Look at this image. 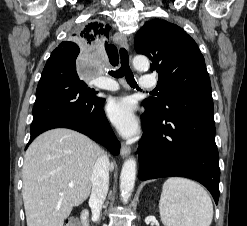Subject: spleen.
Instances as JSON below:
<instances>
[{
    "label": "spleen",
    "instance_id": "obj_1",
    "mask_svg": "<svg viewBox=\"0 0 247 226\" xmlns=\"http://www.w3.org/2000/svg\"><path fill=\"white\" fill-rule=\"evenodd\" d=\"M160 212L167 226H210L213 205L208 193L196 182L181 177L165 181Z\"/></svg>",
    "mask_w": 247,
    "mask_h": 226
}]
</instances>
